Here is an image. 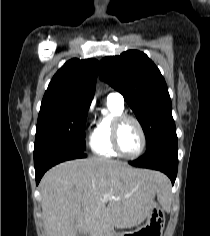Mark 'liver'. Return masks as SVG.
Masks as SVG:
<instances>
[{
    "label": "liver",
    "mask_w": 210,
    "mask_h": 236,
    "mask_svg": "<svg viewBox=\"0 0 210 236\" xmlns=\"http://www.w3.org/2000/svg\"><path fill=\"white\" fill-rule=\"evenodd\" d=\"M39 187L46 236H103L111 227L140 225L155 196L166 198L169 180L157 171L91 157L56 165Z\"/></svg>",
    "instance_id": "1"
}]
</instances>
